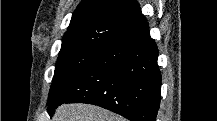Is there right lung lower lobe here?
Wrapping results in <instances>:
<instances>
[{
	"label": "right lung lower lobe",
	"mask_w": 217,
	"mask_h": 121,
	"mask_svg": "<svg viewBox=\"0 0 217 121\" xmlns=\"http://www.w3.org/2000/svg\"><path fill=\"white\" fill-rule=\"evenodd\" d=\"M158 49L140 14L110 41L93 63L48 99V112L63 103L101 106L131 121H155L161 98Z\"/></svg>",
	"instance_id": "obj_1"
}]
</instances>
